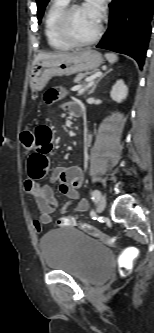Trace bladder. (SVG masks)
<instances>
[{"instance_id": "1", "label": "bladder", "mask_w": 154, "mask_h": 333, "mask_svg": "<svg viewBox=\"0 0 154 333\" xmlns=\"http://www.w3.org/2000/svg\"><path fill=\"white\" fill-rule=\"evenodd\" d=\"M39 247L46 268L82 280L107 277L114 260L108 246L73 226L47 232Z\"/></svg>"}]
</instances>
